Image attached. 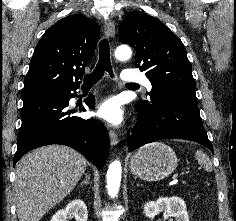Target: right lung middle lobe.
<instances>
[{"label":"right lung middle lobe","mask_w":236,"mask_h":221,"mask_svg":"<svg viewBox=\"0 0 236 221\" xmlns=\"http://www.w3.org/2000/svg\"><path fill=\"white\" fill-rule=\"evenodd\" d=\"M61 90H43V91H38V92H33V93H28V94H22V99L25 100L30 97H35V96H43V95H48V96H55V95H60Z\"/></svg>","instance_id":"obj_1"}]
</instances>
